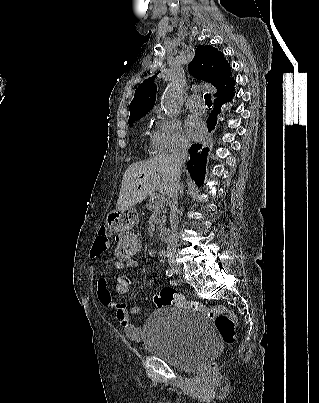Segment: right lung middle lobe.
<instances>
[{
  "mask_svg": "<svg viewBox=\"0 0 319 403\" xmlns=\"http://www.w3.org/2000/svg\"><path fill=\"white\" fill-rule=\"evenodd\" d=\"M140 118H141V117L134 118V119H130V120H129V125H132L134 121H136V120H138V119H140Z\"/></svg>",
  "mask_w": 319,
  "mask_h": 403,
  "instance_id": "dd1d6c3e",
  "label": "right lung middle lobe"
}]
</instances>
